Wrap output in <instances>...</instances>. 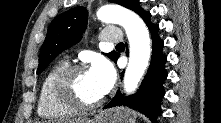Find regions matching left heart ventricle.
Here are the masks:
<instances>
[{"mask_svg":"<svg viewBox=\"0 0 221 123\" xmlns=\"http://www.w3.org/2000/svg\"><path fill=\"white\" fill-rule=\"evenodd\" d=\"M73 89L76 95L86 103L95 102L103 96L88 71L74 77Z\"/></svg>","mask_w":221,"mask_h":123,"instance_id":"obj_1","label":"left heart ventricle"}]
</instances>
